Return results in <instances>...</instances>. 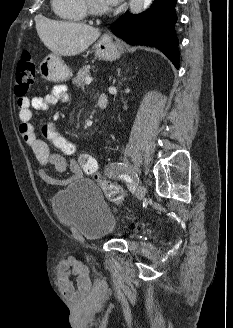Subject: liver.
<instances>
[{
  "label": "liver",
  "mask_w": 233,
  "mask_h": 328,
  "mask_svg": "<svg viewBox=\"0 0 233 328\" xmlns=\"http://www.w3.org/2000/svg\"><path fill=\"white\" fill-rule=\"evenodd\" d=\"M38 36L44 45L58 56H75L84 52L100 36L98 29L74 22L35 19Z\"/></svg>",
  "instance_id": "liver-1"
}]
</instances>
